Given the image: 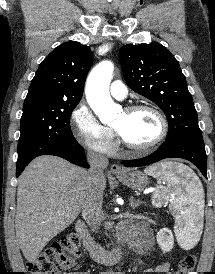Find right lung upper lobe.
<instances>
[{"instance_id": "right-lung-upper-lobe-1", "label": "right lung upper lobe", "mask_w": 215, "mask_h": 274, "mask_svg": "<svg viewBox=\"0 0 215 274\" xmlns=\"http://www.w3.org/2000/svg\"><path fill=\"white\" fill-rule=\"evenodd\" d=\"M92 58L90 47L76 41L59 45L41 62L24 103L35 100L79 103Z\"/></svg>"}]
</instances>
